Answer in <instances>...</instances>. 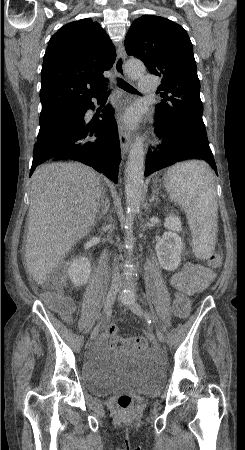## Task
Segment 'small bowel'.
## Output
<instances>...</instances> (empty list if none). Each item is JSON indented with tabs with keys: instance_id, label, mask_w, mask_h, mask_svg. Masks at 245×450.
Here are the masks:
<instances>
[{
	"instance_id": "1",
	"label": "small bowel",
	"mask_w": 245,
	"mask_h": 450,
	"mask_svg": "<svg viewBox=\"0 0 245 450\" xmlns=\"http://www.w3.org/2000/svg\"><path fill=\"white\" fill-rule=\"evenodd\" d=\"M214 279L215 273L212 270L197 263H190L174 273L171 283L176 289L186 294H193L209 287ZM108 343L106 335L99 340L100 347H106Z\"/></svg>"
}]
</instances>
